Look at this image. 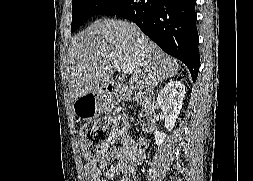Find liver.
<instances>
[{
	"label": "liver",
	"mask_w": 253,
	"mask_h": 181,
	"mask_svg": "<svg viewBox=\"0 0 253 181\" xmlns=\"http://www.w3.org/2000/svg\"><path fill=\"white\" fill-rule=\"evenodd\" d=\"M68 86L73 102L113 83L124 64L134 67L129 89L149 91L179 70L176 59L163 52L134 24L101 19L72 38L68 50Z\"/></svg>",
	"instance_id": "obj_1"
}]
</instances>
